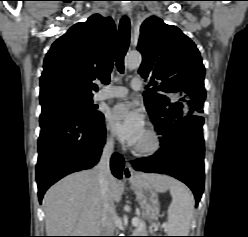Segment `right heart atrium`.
<instances>
[{
	"instance_id": "obj_1",
	"label": "right heart atrium",
	"mask_w": 248,
	"mask_h": 237,
	"mask_svg": "<svg viewBox=\"0 0 248 237\" xmlns=\"http://www.w3.org/2000/svg\"><path fill=\"white\" fill-rule=\"evenodd\" d=\"M113 142H114L113 136H112V135L107 136V143H108L109 145H112Z\"/></svg>"
}]
</instances>
